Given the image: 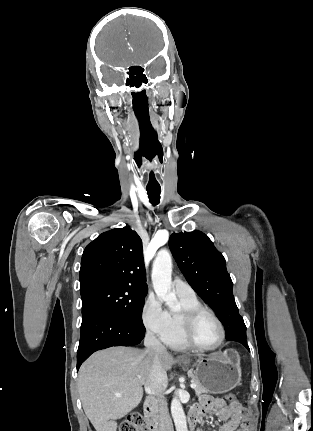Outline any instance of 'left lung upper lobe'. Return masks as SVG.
Listing matches in <instances>:
<instances>
[{
    "label": "left lung upper lobe",
    "mask_w": 313,
    "mask_h": 431,
    "mask_svg": "<svg viewBox=\"0 0 313 431\" xmlns=\"http://www.w3.org/2000/svg\"><path fill=\"white\" fill-rule=\"evenodd\" d=\"M169 247L194 291L215 311L228 341L246 340V326L233 296L223 255L202 232L173 233Z\"/></svg>",
    "instance_id": "5c2ea615"
}]
</instances>
